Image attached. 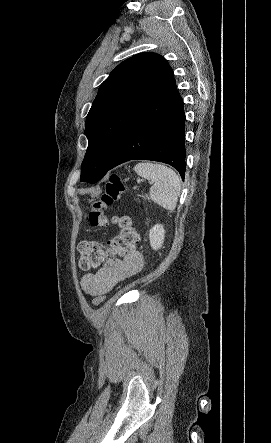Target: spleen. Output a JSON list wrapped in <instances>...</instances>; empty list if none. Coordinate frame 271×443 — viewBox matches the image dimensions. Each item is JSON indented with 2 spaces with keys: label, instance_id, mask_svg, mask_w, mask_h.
<instances>
[{
  "label": "spleen",
  "instance_id": "3e777b00",
  "mask_svg": "<svg viewBox=\"0 0 271 443\" xmlns=\"http://www.w3.org/2000/svg\"><path fill=\"white\" fill-rule=\"evenodd\" d=\"M133 170L137 176L152 182L153 186L149 194L153 202L165 210H175L180 190V178L174 170L161 164H150V162H140Z\"/></svg>",
  "mask_w": 271,
  "mask_h": 443
}]
</instances>
